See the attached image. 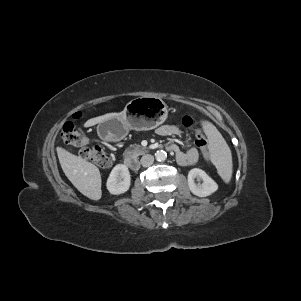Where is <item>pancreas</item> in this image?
Here are the masks:
<instances>
[{"label":"pancreas","mask_w":301,"mask_h":301,"mask_svg":"<svg viewBox=\"0 0 301 301\" xmlns=\"http://www.w3.org/2000/svg\"><path fill=\"white\" fill-rule=\"evenodd\" d=\"M146 152V149L140 145H132L131 146V149H126L125 152H124V155L125 156H128V157H138L139 155H143L144 153Z\"/></svg>","instance_id":"1"}]
</instances>
